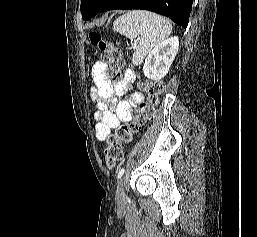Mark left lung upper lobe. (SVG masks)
<instances>
[{"instance_id":"1","label":"left lung upper lobe","mask_w":257,"mask_h":237,"mask_svg":"<svg viewBox=\"0 0 257 237\" xmlns=\"http://www.w3.org/2000/svg\"><path fill=\"white\" fill-rule=\"evenodd\" d=\"M109 0H81L80 10L84 20H90Z\"/></svg>"}]
</instances>
